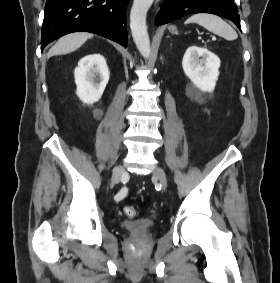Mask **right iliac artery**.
<instances>
[{
	"instance_id": "obj_1",
	"label": "right iliac artery",
	"mask_w": 280,
	"mask_h": 283,
	"mask_svg": "<svg viewBox=\"0 0 280 283\" xmlns=\"http://www.w3.org/2000/svg\"><path fill=\"white\" fill-rule=\"evenodd\" d=\"M124 197V192H120L115 196L116 200H121Z\"/></svg>"
}]
</instances>
